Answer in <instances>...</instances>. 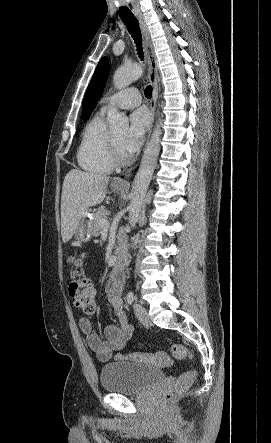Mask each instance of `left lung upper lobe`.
<instances>
[{
  "label": "left lung upper lobe",
  "mask_w": 271,
  "mask_h": 443,
  "mask_svg": "<svg viewBox=\"0 0 271 443\" xmlns=\"http://www.w3.org/2000/svg\"><path fill=\"white\" fill-rule=\"evenodd\" d=\"M110 72L109 61L103 57L94 72L93 78L86 90L82 104V119L87 120L91 115L95 104L98 102L103 93L107 77Z\"/></svg>",
  "instance_id": "left-lung-upper-lobe-1"
}]
</instances>
